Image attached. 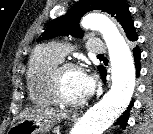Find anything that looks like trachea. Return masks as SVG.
Masks as SVG:
<instances>
[{
	"label": "trachea",
	"mask_w": 153,
	"mask_h": 134,
	"mask_svg": "<svg viewBox=\"0 0 153 134\" xmlns=\"http://www.w3.org/2000/svg\"><path fill=\"white\" fill-rule=\"evenodd\" d=\"M98 57H103V55H98Z\"/></svg>",
	"instance_id": "1"
}]
</instances>
